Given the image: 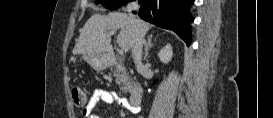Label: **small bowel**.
I'll list each match as a JSON object with an SVG mask.
<instances>
[{
	"label": "small bowel",
	"instance_id": "small-bowel-1",
	"mask_svg": "<svg viewBox=\"0 0 273 118\" xmlns=\"http://www.w3.org/2000/svg\"><path fill=\"white\" fill-rule=\"evenodd\" d=\"M99 102L107 104H119L123 107L127 106L124 99L114 95L112 92L105 89H98L94 91L92 96L88 99L87 103L83 107L82 114L85 118H91L92 111ZM132 113H139L140 109L134 106H127ZM93 118V117H92Z\"/></svg>",
	"mask_w": 273,
	"mask_h": 118
}]
</instances>
